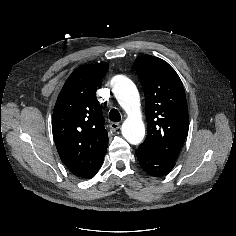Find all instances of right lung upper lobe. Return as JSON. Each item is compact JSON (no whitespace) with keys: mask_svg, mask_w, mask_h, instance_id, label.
Wrapping results in <instances>:
<instances>
[{"mask_svg":"<svg viewBox=\"0 0 236 236\" xmlns=\"http://www.w3.org/2000/svg\"><path fill=\"white\" fill-rule=\"evenodd\" d=\"M108 64L82 65L65 82L54 107L52 131L65 166L82 178L93 177L108 146L104 118L96 98Z\"/></svg>","mask_w":236,"mask_h":236,"instance_id":"obj_1","label":"right lung upper lobe"}]
</instances>
